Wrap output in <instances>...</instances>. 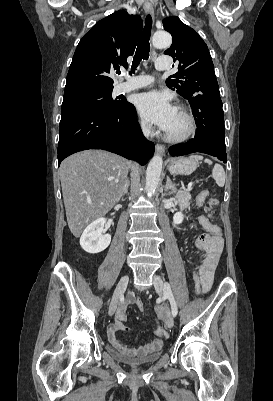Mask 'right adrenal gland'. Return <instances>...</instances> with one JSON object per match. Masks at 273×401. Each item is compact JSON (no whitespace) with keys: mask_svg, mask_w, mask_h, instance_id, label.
<instances>
[{"mask_svg":"<svg viewBox=\"0 0 273 401\" xmlns=\"http://www.w3.org/2000/svg\"><path fill=\"white\" fill-rule=\"evenodd\" d=\"M129 186H130V180H126V184L124 186V190H123L121 196H123V194H125V192H128Z\"/></svg>","mask_w":273,"mask_h":401,"instance_id":"2a0ac1e0","label":"right adrenal gland"}]
</instances>
